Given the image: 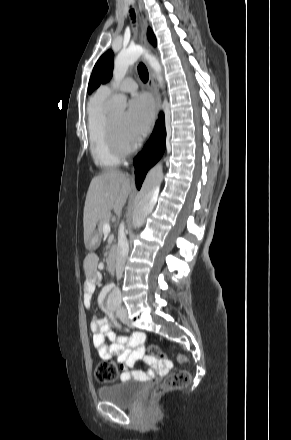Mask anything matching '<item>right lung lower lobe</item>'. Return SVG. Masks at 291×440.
Listing matches in <instances>:
<instances>
[{"label": "right lung lower lobe", "instance_id": "1", "mask_svg": "<svg viewBox=\"0 0 291 440\" xmlns=\"http://www.w3.org/2000/svg\"><path fill=\"white\" fill-rule=\"evenodd\" d=\"M165 120L162 113L156 123L155 129L146 143L144 149L135 159L136 186L140 189L148 170L154 166L165 150Z\"/></svg>", "mask_w": 291, "mask_h": 440}]
</instances>
